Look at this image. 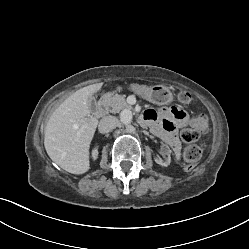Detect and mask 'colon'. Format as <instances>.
Wrapping results in <instances>:
<instances>
[{
	"label": "colon",
	"mask_w": 249,
	"mask_h": 249,
	"mask_svg": "<svg viewBox=\"0 0 249 249\" xmlns=\"http://www.w3.org/2000/svg\"><path fill=\"white\" fill-rule=\"evenodd\" d=\"M176 98L179 103L185 105L191 100L187 92H178ZM210 128L209 118L206 114L200 113L192 117L190 126L183 129L181 132V139L187 144L184 150V158L188 163L197 162L203 153L202 147L196 143L200 134L207 133Z\"/></svg>",
	"instance_id": "5ec220e1"
}]
</instances>
